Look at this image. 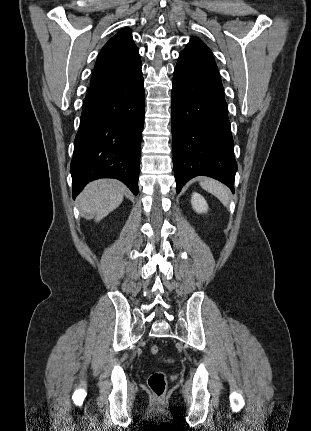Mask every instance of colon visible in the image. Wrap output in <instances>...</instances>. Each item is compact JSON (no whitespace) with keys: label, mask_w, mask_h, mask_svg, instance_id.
<instances>
[{"label":"colon","mask_w":311,"mask_h":431,"mask_svg":"<svg viewBox=\"0 0 311 431\" xmlns=\"http://www.w3.org/2000/svg\"><path fill=\"white\" fill-rule=\"evenodd\" d=\"M158 352L159 348L156 345L151 346L150 353L152 355H157ZM148 385L155 396H162L167 385L166 375L160 371L152 373L148 379Z\"/></svg>","instance_id":"obj_1"}]
</instances>
